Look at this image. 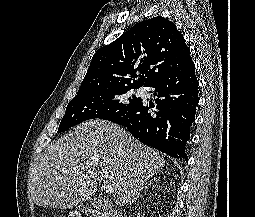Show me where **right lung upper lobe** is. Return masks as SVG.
<instances>
[{"mask_svg":"<svg viewBox=\"0 0 255 217\" xmlns=\"http://www.w3.org/2000/svg\"><path fill=\"white\" fill-rule=\"evenodd\" d=\"M191 59L176 25L154 17L134 25L93 56L78 92L148 86Z\"/></svg>","mask_w":255,"mask_h":217,"instance_id":"right-lung-upper-lobe-1","label":"right lung upper lobe"}]
</instances>
